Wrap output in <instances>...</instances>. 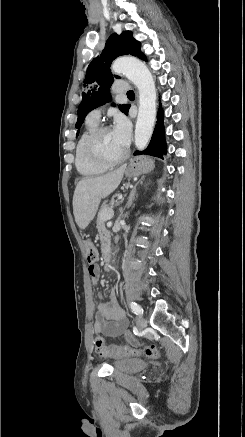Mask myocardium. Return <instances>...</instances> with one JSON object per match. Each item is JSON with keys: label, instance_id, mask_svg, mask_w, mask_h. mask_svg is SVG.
I'll return each mask as SVG.
<instances>
[{"label": "myocardium", "instance_id": "f54148a6", "mask_svg": "<svg viewBox=\"0 0 245 437\" xmlns=\"http://www.w3.org/2000/svg\"><path fill=\"white\" fill-rule=\"evenodd\" d=\"M109 130H111L109 126H105V125L98 126L88 135L85 141V151L87 156L93 162L107 167L115 166L117 164L122 163L128 157L129 154V151L126 149V151L121 157L117 159H109L100 152L99 149L100 138L105 132Z\"/></svg>", "mask_w": 245, "mask_h": 437}]
</instances>
